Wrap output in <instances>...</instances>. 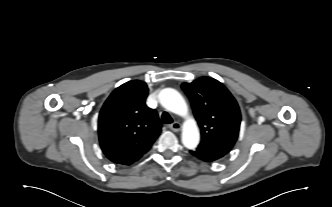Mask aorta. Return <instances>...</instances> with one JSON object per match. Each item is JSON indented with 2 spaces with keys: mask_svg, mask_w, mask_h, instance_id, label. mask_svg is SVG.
<instances>
[{
  "mask_svg": "<svg viewBox=\"0 0 332 207\" xmlns=\"http://www.w3.org/2000/svg\"><path fill=\"white\" fill-rule=\"evenodd\" d=\"M159 102L167 110L186 117L182 130V143L188 149H195L200 141L196 121L188 117V107L181 94L172 88H165L159 93Z\"/></svg>",
  "mask_w": 332,
  "mask_h": 207,
  "instance_id": "762f6f07",
  "label": "aorta"
}]
</instances>
